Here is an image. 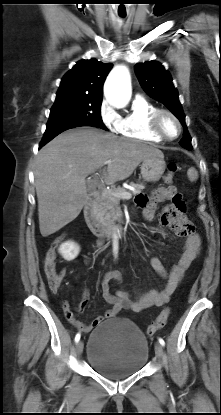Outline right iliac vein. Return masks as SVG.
Returning a JSON list of instances; mask_svg holds the SVG:
<instances>
[{
    "mask_svg": "<svg viewBox=\"0 0 221 415\" xmlns=\"http://www.w3.org/2000/svg\"><path fill=\"white\" fill-rule=\"evenodd\" d=\"M83 348H84L83 341H78L77 344H76V352H77L78 355L82 354Z\"/></svg>",
    "mask_w": 221,
    "mask_h": 415,
    "instance_id": "obj_1",
    "label": "right iliac vein"
}]
</instances>
